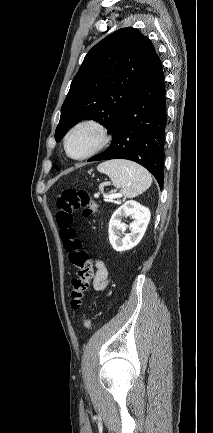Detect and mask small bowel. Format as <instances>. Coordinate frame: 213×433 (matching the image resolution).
Returning <instances> with one entry per match:
<instances>
[{"mask_svg":"<svg viewBox=\"0 0 213 433\" xmlns=\"http://www.w3.org/2000/svg\"><path fill=\"white\" fill-rule=\"evenodd\" d=\"M95 267H96V272L93 277V287L97 291H102L109 285L110 275L103 261L96 260Z\"/></svg>","mask_w":213,"mask_h":433,"instance_id":"c3829d8e","label":"small bowel"}]
</instances>
